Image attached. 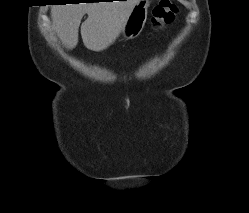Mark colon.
I'll list each match as a JSON object with an SVG mask.
<instances>
[{
    "label": "colon",
    "instance_id": "colon-1",
    "mask_svg": "<svg viewBox=\"0 0 249 213\" xmlns=\"http://www.w3.org/2000/svg\"><path fill=\"white\" fill-rule=\"evenodd\" d=\"M177 7L170 0H160L152 10L151 23L157 30L163 29L171 23L177 14Z\"/></svg>",
    "mask_w": 249,
    "mask_h": 213
}]
</instances>
